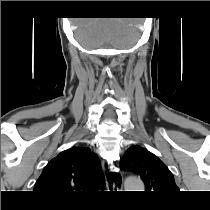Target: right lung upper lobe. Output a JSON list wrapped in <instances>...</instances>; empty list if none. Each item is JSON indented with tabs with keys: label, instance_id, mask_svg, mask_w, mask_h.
<instances>
[{
	"label": "right lung upper lobe",
	"instance_id": "cb5924a9",
	"mask_svg": "<svg viewBox=\"0 0 210 210\" xmlns=\"http://www.w3.org/2000/svg\"><path fill=\"white\" fill-rule=\"evenodd\" d=\"M104 180L98 156L88 147H72L47 164L34 192L56 203H68L100 187Z\"/></svg>",
	"mask_w": 210,
	"mask_h": 210
}]
</instances>
